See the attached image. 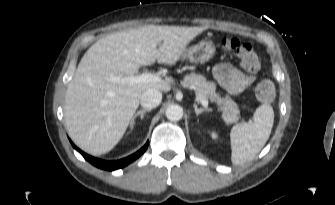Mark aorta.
Instances as JSON below:
<instances>
[{
    "instance_id": "1",
    "label": "aorta",
    "mask_w": 335,
    "mask_h": 205,
    "mask_svg": "<svg viewBox=\"0 0 335 205\" xmlns=\"http://www.w3.org/2000/svg\"><path fill=\"white\" fill-rule=\"evenodd\" d=\"M165 114L170 121H179L183 117V109L180 105L172 104L167 107Z\"/></svg>"
}]
</instances>
